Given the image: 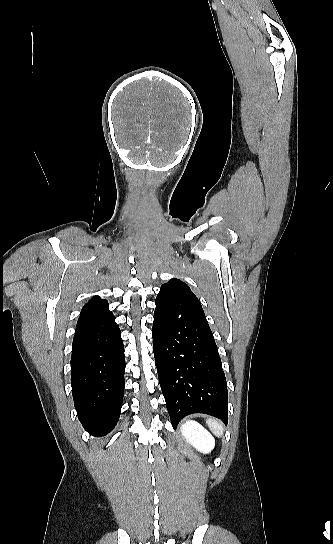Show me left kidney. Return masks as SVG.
Instances as JSON below:
<instances>
[{
  "instance_id": "5707ae66",
  "label": "left kidney",
  "mask_w": 333,
  "mask_h": 544,
  "mask_svg": "<svg viewBox=\"0 0 333 544\" xmlns=\"http://www.w3.org/2000/svg\"><path fill=\"white\" fill-rule=\"evenodd\" d=\"M182 434L186 440L202 453H209L214 445L213 436L199 423L188 421L181 427Z\"/></svg>"
}]
</instances>
